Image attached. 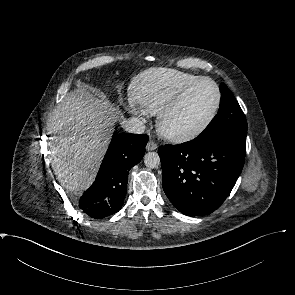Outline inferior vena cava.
Instances as JSON below:
<instances>
[{"label":"inferior vena cava","instance_id":"602c4592","mask_svg":"<svg viewBox=\"0 0 295 295\" xmlns=\"http://www.w3.org/2000/svg\"><path fill=\"white\" fill-rule=\"evenodd\" d=\"M122 128L129 133L141 134L145 131V125L139 118H129L122 121Z\"/></svg>","mask_w":295,"mask_h":295}]
</instances>
